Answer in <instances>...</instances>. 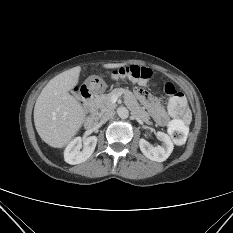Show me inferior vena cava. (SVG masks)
I'll return each instance as SVG.
<instances>
[{
  "label": "inferior vena cava",
  "mask_w": 233,
  "mask_h": 233,
  "mask_svg": "<svg viewBox=\"0 0 233 233\" xmlns=\"http://www.w3.org/2000/svg\"><path fill=\"white\" fill-rule=\"evenodd\" d=\"M114 115H115V112H114V111H107V112H105V113L101 116V122H102V123L107 122L108 120H110L111 118H113Z\"/></svg>",
  "instance_id": "inferior-vena-cava-1"
}]
</instances>
